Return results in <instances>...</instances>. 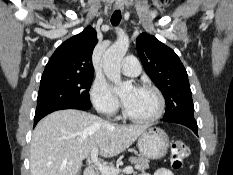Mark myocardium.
I'll list each match as a JSON object with an SVG mask.
<instances>
[{
    "label": "myocardium",
    "mask_w": 233,
    "mask_h": 175,
    "mask_svg": "<svg viewBox=\"0 0 233 175\" xmlns=\"http://www.w3.org/2000/svg\"><path fill=\"white\" fill-rule=\"evenodd\" d=\"M138 88L144 89V90H149L155 94V96L157 97V100H158V108H157L156 112L153 115H151L149 117H145V118L135 117L128 112L124 101H122L123 116L126 119H128L129 121L134 122V123L148 124V123L155 122L156 120L161 118L165 112L166 102H165L164 95L158 87H156L152 84H148V83L142 84Z\"/></svg>",
    "instance_id": "myocardium-1"
}]
</instances>
